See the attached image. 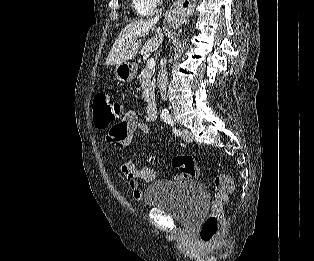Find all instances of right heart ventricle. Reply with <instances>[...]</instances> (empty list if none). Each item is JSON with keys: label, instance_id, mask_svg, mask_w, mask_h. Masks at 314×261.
Segmentation results:
<instances>
[{"label": "right heart ventricle", "instance_id": "1", "mask_svg": "<svg viewBox=\"0 0 314 261\" xmlns=\"http://www.w3.org/2000/svg\"><path fill=\"white\" fill-rule=\"evenodd\" d=\"M131 4L134 12L141 17L149 16L154 11L149 0H131Z\"/></svg>", "mask_w": 314, "mask_h": 261}]
</instances>
